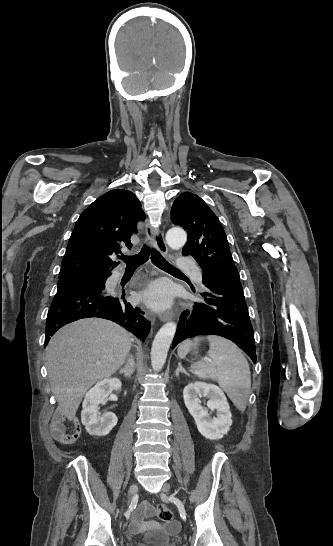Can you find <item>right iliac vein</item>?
Segmentation results:
<instances>
[{"instance_id": "63e3f726", "label": "right iliac vein", "mask_w": 333, "mask_h": 546, "mask_svg": "<svg viewBox=\"0 0 333 546\" xmlns=\"http://www.w3.org/2000/svg\"><path fill=\"white\" fill-rule=\"evenodd\" d=\"M137 492V486L132 485L129 489L128 497L131 498Z\"/></svg>"}]
</instances>
